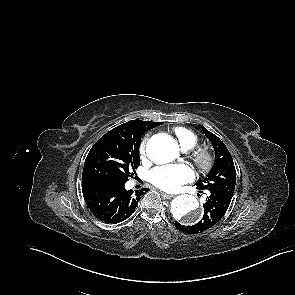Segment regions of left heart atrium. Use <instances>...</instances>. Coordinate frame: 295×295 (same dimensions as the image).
<instances>
[{
	"label": "left heart atrium",
	"mask_w": 295,
	"mask_h": 295,
	"mask_svg": "<svg viewBox=\"0 0 295 295\" xmlns=\"http://www.w3.org/2000/svg\"><path fill=\"white\" fill-rule=\"evenodd\" d=\"M194 179V172L188 164H173L159 166L150 173V181L158 188L175 192L179 190L183 184Z\"/></svg>",
	"instance_id": "left-heart-atrium-1"
}]
</instances>
